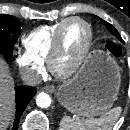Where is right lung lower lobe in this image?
<instances>
[{
  "label": "right lung lower lobe",
  "mask_w": 130,
  "mask_h": 130,
  "mask_svg": "<svg viewBox=\"0 0 130 130\" xmlns=\"http://www.w3.org/2000/svg\"><path fill=\"white\" fill-rule=\"evenodd\" d=\"M36 93L35 87H16L15 100H16V115L12 130H18L19 120L27 104Z\"/></svg>",
  "instance_id": "98d812e1"
}]
</instances>
